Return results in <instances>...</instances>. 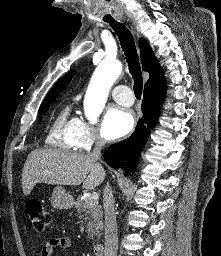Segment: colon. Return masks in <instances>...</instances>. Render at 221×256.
Returning a JSON list of instances; mask_svg holds the SVG:
<instances>
[{"instance_id":"5ec220e1","label":"colon","mask_w":221,"mask_h":256,"mask_svg":"<svg viewBox=\"0 0 221 256\" xmlns=\"http://www.w3.org/2000/svg\"><path fill=\"white\" fill-rule=\"evenodd\" d=\"M26 211L34 230L43 231L49 225L51 217L41 201L30 199L26 204Z\"/></svg>"}]
</instances>
